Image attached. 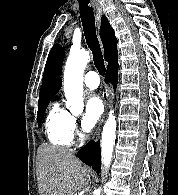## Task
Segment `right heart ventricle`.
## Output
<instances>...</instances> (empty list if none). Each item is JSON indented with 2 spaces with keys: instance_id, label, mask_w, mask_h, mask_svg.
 Here are the masks:
<instances>
[{
  "instance_id": "obj_1",
  "label": "right heart ventricle",
  "mask_w": 178,
  "mask_h": 195,
  "mask_svg": "<svg viewBox=\"0 0 178 195\" xmlns=\"http://www.w3.org/2000/svg\"><path fill=\"white\" fill-rule=\"evenodd\" d=\"M71 119L69 112L58 103L51 106L45 121V131L52 144L67 147L72 143Z\"/></svg>"
}]
</instances>
